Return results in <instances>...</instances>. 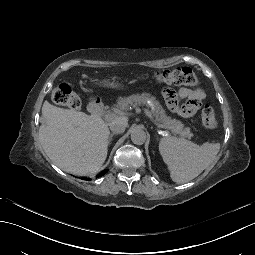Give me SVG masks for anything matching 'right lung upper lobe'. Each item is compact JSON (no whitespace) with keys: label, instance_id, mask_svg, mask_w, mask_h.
Here are the masks:
<instances>
[{"label":"right lung upper lobe","instance_id":"obj_1","mask_svg":"<svg viewBox=\"0 0 255 255\" xmlns=\"http://www.w3.org/2000/svg\"><path fill=\"white\" fill-rule=\"evenodd\" d=\"M106 172H107V170H106V171H103V172L100 173L98 176L100 177V176L104 175Z\"/></svg>","mask_w":255,"mask_h":255}]
</instances>
